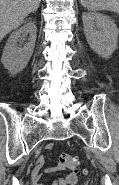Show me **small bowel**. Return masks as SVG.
I'll list each match as a JSON object with an SVG mask.
<instances>
[{
  "mask_svg": "<svg viewBox=\"0 0 119 185\" xmlns=\"http://www.w3.org/2000/svg\"><path fill=\"white\" fill-rule=\"evenodd\" d=\"M46 148L52 150L54 148L53 143H49ZM44 159L42 157L37 158L33 171L31 172V180L33 185H44L42 183L43 173L61 171L64 167L58 164L54 167L43 169ZM77 181V176L75 174H68L64 177L57 178L52 185H74Z\"/></svg>",
  "mask_w": 119,
  "mask_h": 185,
  "instance_id": "1",
  "label": "small bowel"
}]
</instances>
